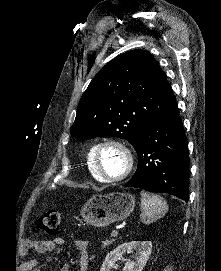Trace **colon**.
I'll return each mask as SVG.
<instances>
[{
    "label": "colon",
    "instance_id": "1",
    "mask_svg": "<svg viewBox=\"0 0 221 271\" xmlns=\"http://www.w3.org/2000/svg\"><path fill=\"white\" fill-rule=\"evenodd\" d=\"M60 214L58 211H47L43 213L35 224V228L40 231L53 234L58 231Z\"/></svg>",
    "mask_w": 221,
    "mask_h": 271
}]
</instances>
